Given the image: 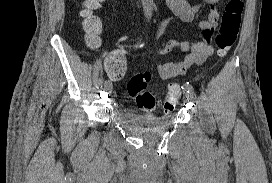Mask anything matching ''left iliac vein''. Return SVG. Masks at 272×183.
<instances>
[{"label": "left iliac vein", "instance_id": "left-iliac-vein-1", "mask_svg": "<svg viewBox=\"0 0 272 183\" xmlns=\"http://www.w3.org/2000/svg\"><path fill=\"white\" fill-rule=\"evenodd\" d=\"M185 95H186L187 99H189V100L194 99V94L193 93H190V94L186 93Z\"/></svg>", "mask_w": 272, "mask_h": 183}]
</instances>
